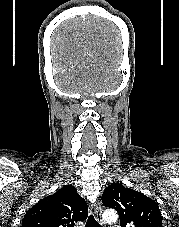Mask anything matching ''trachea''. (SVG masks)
I'll return each instance as SVG.
<instances>
[{"mask_svg":"<svg viewBox=\"0 0 179 227\" xmlns=\"http://www.w3.org/2000/svg\"><path fill=\"white\" fill-rule=\"evenodd\" d=\"M85 227H101V225L95 220L94 216L91 214L88 217Z\"/></svg>","mask_w":179,"mask_h":227,"instance_id":"1","label":"trachea"}]
</instances>
